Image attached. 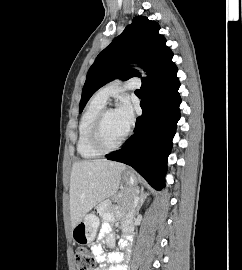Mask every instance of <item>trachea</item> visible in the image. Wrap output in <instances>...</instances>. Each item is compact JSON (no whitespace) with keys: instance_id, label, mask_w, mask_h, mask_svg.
Masks as SVG:
<instances>
[{"instance_id":"trachea-1","label":"trachea","mask_w":242,"mask_h":270,"mask_svg":"<svg viewBox=\"0 0 242 270\" xmlns=\"http://www.w3.org/2000/svg\"><path fill=\"white\" fill-rule=\"evenodd\" d=\"M135 92H136V93H140L141 91H140V90H136Z\"/></svg>"}]
</instances>
